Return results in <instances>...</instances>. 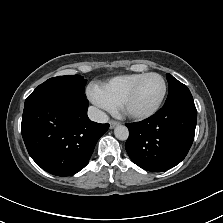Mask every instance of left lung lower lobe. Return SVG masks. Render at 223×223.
I'll return each mask as SVG.
<instances>
[{
	"label": "left lung lower lobe",
	"mask_w": 223,
	"mask_h": 223,
	"mask_svg": "<svg viewBox=\"0 0 223 223\" xmlns=\"http://www.w3.org/2000/svg\"><path fill=\"white\" fill-rule=\"evenodd\" d=\"M196 121L194 104L163 106L144 121L126 124V151L137 166L152 172L166 171L186 157L194 140Z\"/></svg>",
	"instance_id": "0a47b994"
}]
</instances>
